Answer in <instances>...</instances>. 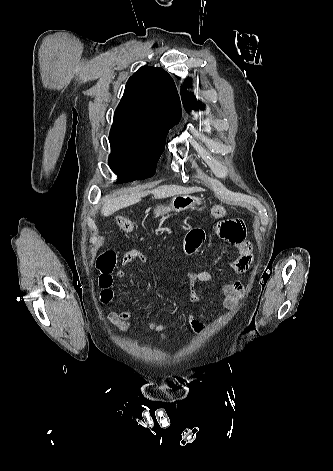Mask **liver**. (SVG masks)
Here are the masks:
<instances>
[{"mask_svg":"<svg viewBox=\"0 0 333 471\" xmlns=\"http://www.w3.org/2000/svg\"><path fill=\"white\" fill-rule=\"evenodd\" d=\"M202 191L199 187H182L178 185H163L152 191L136 192L131 194H121L119 196L111 195L105 198V203L101 208V214L110 216L116 211L134 205L141 201L142 197L149 193L154 195L155 199H163L176 195L190 194Z\"/></svg>","mask_w":333,"mask_h":471,"instance_id":"1","label":"liver"}]
</instances>
